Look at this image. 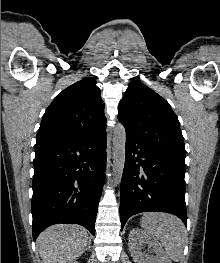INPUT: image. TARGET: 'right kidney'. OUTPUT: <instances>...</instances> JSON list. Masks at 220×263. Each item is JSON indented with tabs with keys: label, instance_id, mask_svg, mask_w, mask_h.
I'll use <instances>...</instances> for the list:
<instances>
[{
	"label": "right kidney",
	"instance_id": "ca27d5eb",
	"mask_svg": "<svg viewBox=\"0 0 220 263\" xmlns=\"http://www.w3.org/2000/svg\"><path fill=\"white\" fill-rule=\"evenodd\" d=\"M70 263H78L77 261H71Z\"/></svg>",
	"mask_w": 220,
	"mask_h": 263
}]
</instances>
